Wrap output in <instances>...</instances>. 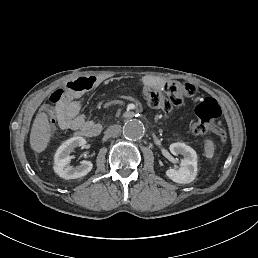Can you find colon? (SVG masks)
Instances as JSON below:
<instances>
[{"label":"colon","mask_w":258,"mask_h":258,"mask_svg":"<svg viewBox=\"0 0 258 258\" xmlns=\"http://www.w3.org/2000/svg\"><path fill=\"white\" fill-rule=\"evenodd\" d=\"M71 87L64 85L55 90L50 98L51 105L57 107L62 103ZM195 92V87L189 83L176 80L168 81L162 89L148 87L144 94L148 104L163 112H170L174 107L182 105ZM197 121L192 125L194 135H203L208 131L215 133L222 141L227 138L226 131L219 124L213 122L221 115L218 103L212 98H206L196 107Z\"/></svg>","instance_id":"1"}]
</instances>
